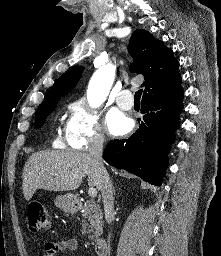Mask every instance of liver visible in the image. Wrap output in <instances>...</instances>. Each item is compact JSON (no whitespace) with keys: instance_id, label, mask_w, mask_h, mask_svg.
Here are the masks:
<instances>
[{"instance_id":"1","label":"liver","mask_w":221,"mask_h":256,"mask_svg":"<svg viewBox=\"0 0 221 256\" xmlns=\"http://www.w3.org/2000/svg\"><path fill=\"white\" fill-rule=\"evenodd\" d=\"M86 175L89 186L100 190V172L88 153L58 150L33 153L23 169L24 198L29 201L37 189L76 190Z\"/></svg>"}]
</instances>
